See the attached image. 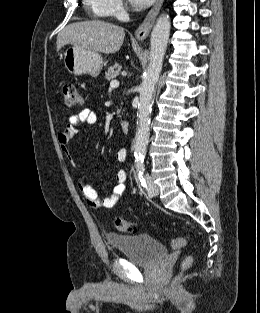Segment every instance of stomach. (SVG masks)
I'll list each match as a JSON object with an SVG mask.
<instances>
[{
  "label": "stomach",
  "mask_w": 260,
  "mask_h": 313,
  "mask_svg": "<svg viewBox=\"0 0 260 313\" xmlns=\"http://www.w3.org/2000/svg\"><path fill=\"white\" fill-rule=\"evenodd\" d=\"M63 59L65 68L74 75L97 77L103 67V59L98 52L77 46L67 48Z\"/></svg>",
  "instance_id": "0dacf381"
}]
</instances>
